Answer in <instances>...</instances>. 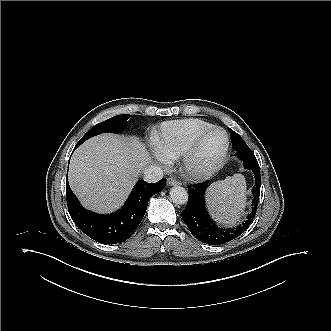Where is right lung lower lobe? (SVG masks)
<instances>
[{"instance_id": "obj_1", "label": "right lung lower lobe", "mask_w": 331, "mask_h": 331, "mask_svg": "<svg viewBox=\"0 0 331 331\" xmlns=\"http://www.w3.org/2000/svg\"><path fill=\"white\" fill-rule=\"evenodd\" d=\"M80 144L77 143V148ZM166 179L150 184L138 181L126 203L110 215H98L84 209L66 182L69 213L75 224L90 238L102 244H116L127 240L145 215L149 199L165 187Z\"/></svg>"}]
</instances>
